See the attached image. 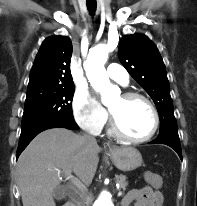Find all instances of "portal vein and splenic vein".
<instances>
[{
    "label": "portal vein and splenic vein",
    "mask_w": 197,
    "mask_h": 206,
    "mask_svg": "<svg viewBox=\"0 0 197 206\" xmlns=\"http://www.w3.org/2000/svg\"><path fill=\"white\" fill-rule=\"evenodd\" d=\"M66 177H67L68 179H70L71 182H72L75 186H77L79 189H82V188L84 187V186L82 185V183H81L77 178L73 177L70 173H66ZM118 196H119V197L122 196V191H119V192H118Z\"/></svg>",
    "instance_id": "18ae733b"
}]
</instances>
